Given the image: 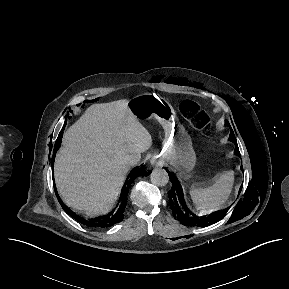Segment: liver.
<instances>
[{
  "instance_id": "liver-1",
  "label": "liver",
  "mask_w": 289,
  "mask_h": 289,
  "mask_svg": "<svg viewBox=\"0 0 289 289\" xmlns=\"http://www.w3.org/2000/svg\"><path fill=\"white\" fill-rule=\"evenodd\" d=\"M54 178L63 202L88 216L115 205L131 159L152 145V138L128 107V100L93 104L63 135Z\"/></svg>"
}]
</instances>
